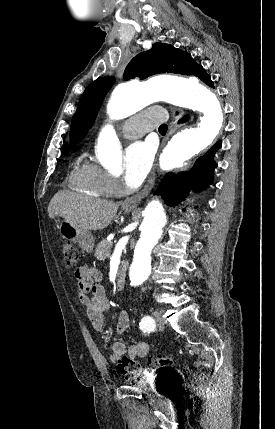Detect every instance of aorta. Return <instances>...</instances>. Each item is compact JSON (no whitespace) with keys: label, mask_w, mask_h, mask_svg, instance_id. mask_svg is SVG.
<instances>
[{"label":"aorta","mask_w":275,"mask_h":429,"mask_svg":"<svg viewBox=\"0 0 275 429\" xmlns=\"http://www.w3.org/2000/svg\"><path fill=\"white\" fill-rule=\"evenodd\" d=\"M163 100L203 114L197 126L175 134L160 156V167L167 171L209 146L224 121V109L215 91L195 78L160 77L145 83L118 85L107 105V120L102 127L96 152L100 162L111 172L121 169V149L112 122L126 118L145 106ZM166 214L158 200L144 211L141 234L136 243L129 275L132 285L142 284L151 274V252L162 236Z\"/></svg>","instance_id":"762f6f07"}]
</instances>
